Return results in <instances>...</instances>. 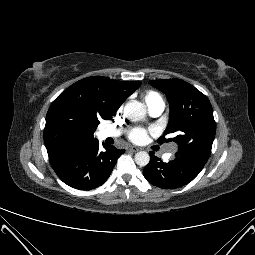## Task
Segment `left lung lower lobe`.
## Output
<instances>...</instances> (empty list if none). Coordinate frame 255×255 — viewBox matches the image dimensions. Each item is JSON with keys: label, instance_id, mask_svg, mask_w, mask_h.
I'll list each match as a JSON object with an SVG mask.
<instances>
[{"label": "left lung lower lobe", "instance_id": "obj_1", "mask_svg": "<svg viewBox=\"0 0 255 255\" xmlns=\"http://www.w3.org/2000/svg\"><path fill=\"white\" fill-rule=\"evenodd\" d=\"M149 154L150 162L144 168L143 175L152 185L163 189H174L188 184L205 165L182 157H175L174 160L164 163L154 152Z\"/></svg>", "mask_w": 255, "mask_h": 255}]
</instances>
